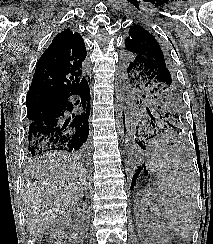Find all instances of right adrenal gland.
<instances>
[{"instance_id": "2a0ac1e0", "label": "right adrenal gland", "mask_w": 213, "mask_h": 244, "mask_svg": "<svg viewBox=\"0 0 213 244\" xmlns=\"http://www.w3.org/2000/svg\"><path fill=\"white\" fill-rule=\"evenodd\" d=\"M83 196H85L86 198H88V195H87V187H85V189H84V193H83L82 197Z\"/></svg>"}]
</instances>
